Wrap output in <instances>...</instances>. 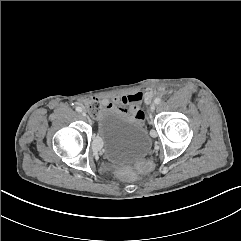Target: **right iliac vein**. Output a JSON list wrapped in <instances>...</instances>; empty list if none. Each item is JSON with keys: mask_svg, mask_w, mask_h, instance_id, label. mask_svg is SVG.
<instances>
[{"mask_svg": "<svg viewBox=\"0 0 241 241\" xmlns=\"http://www.w3.org/2000/svg\"><path fill=\"white\" fill-rule=\"evenodd\" d=\"M82 115H83L84 117H86V116H87L86 112H82Z\"/></svg>", "mask_w": 241, "mask_h": 241, "instance_id": "63e3f726", "label": "right iliac vein"}]
</instances>
